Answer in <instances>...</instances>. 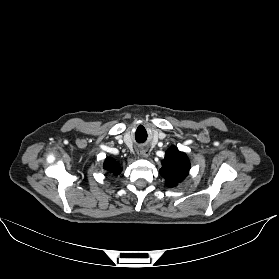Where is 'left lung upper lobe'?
<instances>
[{
  "mask_svg": "<svg viewBox=\"0 0 279 279\" xmlns=\"http://www.w3.org/2000/svg\"><path fill=\"white\" fill-rule=\"evenodd\" d=\"M160 174L166 180L167 187H175L183 181L190 169V162L185 153L171 146L165 153Z\"/></svg>",
  "mask_w": 279,
  "mask_h": 279,
  "instance_id": "5c2ea615",
  "label": "left lung upper lobe"
}]
</instances>
